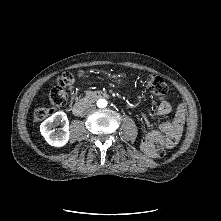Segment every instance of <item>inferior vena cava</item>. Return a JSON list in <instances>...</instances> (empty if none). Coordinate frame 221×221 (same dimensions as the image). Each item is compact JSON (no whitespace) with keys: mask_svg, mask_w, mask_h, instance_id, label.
Listing matches in <instances>:
<instances>
[{"mask_svg":"<svg viewBox=\"0 0 221 221\" xmlns=\"http://www.w3.org/2000/svg\"><path fill=\"white\" fill-rule=\"evenodd\" d=\"M95 110V105H90L85 109V113H90Z\"/></svg>","mask_w":221,"mask_h":221,"instance_id":"inferior-vena-cava-1","label":"inferior vena cava"}]
</instances>
